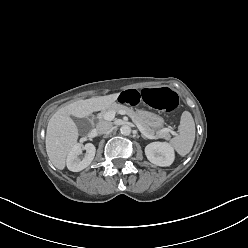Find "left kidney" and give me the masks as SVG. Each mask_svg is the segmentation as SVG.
<instances>
[{
  "label": "left kidney",
  "instance_id": "left-kidney-1",
  "mask_svg": "<svg viewBox=\"0 0 248 248\" xmlns=\"http://www.w3.org/2000/svg\"><path fill=\"white\" fill-rule=\"evenodd\" d=\"M147 159L158 166H170L175 158L173 148L166 142H153L145 147Z\"/></svg>",
  "mask_w": 248,
  "mask_h": 248
}]
</instances>
